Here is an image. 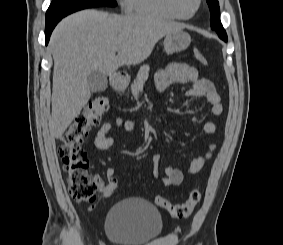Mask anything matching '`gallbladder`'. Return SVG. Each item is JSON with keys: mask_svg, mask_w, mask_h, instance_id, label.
<instances>
[{"mask_svg": "<svg viewBox=\"0 0 283 245\" xmlns=\"http://www.w3.org/2000/svg\"><path fill=\"white\" fill-rule=\"evenodd\" d=\"M88 86L92 92H102L107 87V77L98 70H93L87 80Z\"/></svg>", "mask_w": 283, "mask_h": 245, "instance_id": "gallbladder-1", "label": "gallbladder"}]
</instances>
